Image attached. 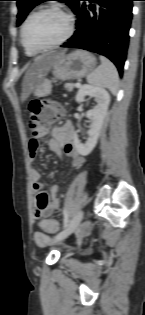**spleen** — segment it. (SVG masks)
Returning a JSON list of instances; mask_svg holds the SVG:
<instances>
[{"mask_svg": "<svg viewBox=\"0 0 145 315\" xmlns=\"http://www.w3.org/2000/svg\"><path fill=\"white\" fill-rule=\"evenodd\" d=\"M101 65L87 76V82L99 88H107L116 95L119 89V75L115 65L104 56H100Z\"/></svg>", "mask_w": 145, "mask_h": 315, "instance_id": "1", "label": "spleen"}]
</instances>
